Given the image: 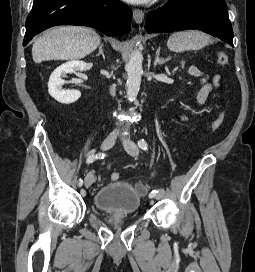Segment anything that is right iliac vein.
Listing matches in <instances>:
<instances>
[{"label": "right iliac vein", "mask_w": 255, "mask_h": 272, "mask_svg": "<svg viewBox=\"0 0 255 272\" xmlns=\"http://www.w3.org/2000/svg\"><path fill=\"white\" fill-rule=\"evenodd\" d=\"M116 138L117 136L115 134H110L109 136H107L101 145V149L103 151H106L112 148L113 145L115 144ZM93 181H94V174L93 172H89L85 177V187L87 188L90 187Z\"/></svg>", "instance_id": "63e3f726"}]
</instances>
